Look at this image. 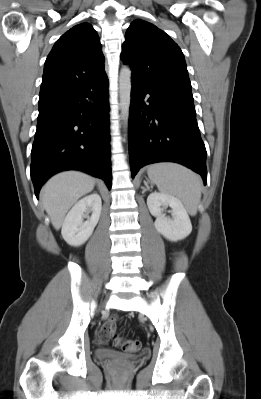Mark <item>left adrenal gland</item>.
I'll list each match as a JSON object with an SVG mask.
<instances>
[{"mask_svg":"<svg viewBox=\"0 0 261 399\" xmlns=\"http://www.w3.org/2000/svg\"><path fill=\"white\" fill-rule=\"evenodd\" d=\"M144 184H145L146 188L145 187H141L143 189V193L150 189L147 182H144Z\"/></svg>","mask_w":261,"mask_h":399,"instance_id":"a2214340","label":"left adrenal gland"}]
</instances>
